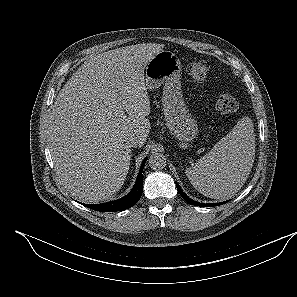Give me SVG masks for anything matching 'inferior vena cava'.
I'll list each match as a JSON object with an SVG mask.
<instances>
[{"label": "inferior vena cava", "instance_id": "1", "mask_svg": "<svg viewBox=\"0 0 297 297\" xmlns=\"http://www.w3.org/2000/svg\"><path fill=\"white\" fill-rule=\"evenodd\" d=\"M126 144L129 147H135V146L139 145V138L136 135H130L126 139Z\"/></svg>", "mask_w": 297, "mask_h": 297}]
</instances>
